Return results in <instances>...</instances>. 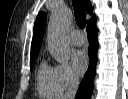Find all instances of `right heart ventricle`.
<instances>
[{
  "label": "right heart ventricle",
  "mask_w": 128,
  "mask_h": 99,
  "mask_svg": "<svg viewBox=\"0 0 128 99\" xmlns=\"http://www.w3.org/2000/svg\"><path fill=\"white\" fill-rule=\"evenodd\" d=\"M37 90L42 98H57L62 91L55 79L54 69L42 63L37 74Z\"/></svg>",
  "instance_id": "1"
}]
</instances>
